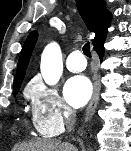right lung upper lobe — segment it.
Instances as JSON below:
<instances>
[{
    "mask_svg": "<svg viewBox=\"0 0 131 151\" xmlns=\"http://www.w3.org/2000/svg\"><path fill=\"white\" fill-rule=\"evenodd\" d=\"M76 3L78 11L87 28L95 33V38L92 40L93 46L102 43L105 40L107 28L111 20V13L105 8V2L102 0H76ZM37 37V31H33L29 34L24 43L18 61L13 90L20 88Z\"/></svg>",
    "mask_w": 131,
    "mask_h": 151,
    "instance_id": "obj_1",
    "label": "right lung upper lobe"
}]
</instances>
